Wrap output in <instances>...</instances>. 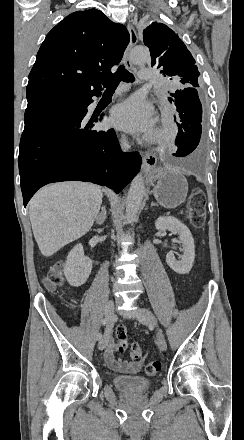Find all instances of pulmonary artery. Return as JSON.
Returning <instances> with one entry per match:
<instances>
[{"label":"pulmonary artery","instance_id":"1","mask_svg":"<svg viewBox=\"0 0 244 440\" xmlns=\"http://www.w3.org/2000/svg\"><path fill=\"white\" fill-rule=\"evenodd\" d=\"M151 74L150 69H138L137 71L138 78H150Z\"/></svg>","mask_w":244,"mask_h":440}]
</instances>
